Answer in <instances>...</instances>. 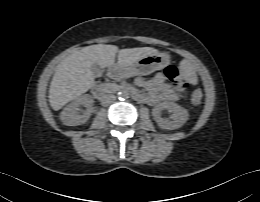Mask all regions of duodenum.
<instances>
[{"instance_id": "410a0bca", "label": "duodenum", "mask_w": 260, "mask_h": 202, "mask_svg": "<svg viewBox=\"0 0 260 202\" xmlns=\"http://www.w3.org/2000/svg\"><path fill=\"white\" fill-rule=\"evenodd\" d=\"M121 74H122V70H121L120 68H118V67H112V68H110V70H109V75H110V77H112V78H117V77H119ZM93 89L95 90V93H96L97 95L102 94V91H101L100 89H98L97 87H93ZM133 95H134V97L137 98L138 92H133Z\"/></svg>"}]
</instances>
